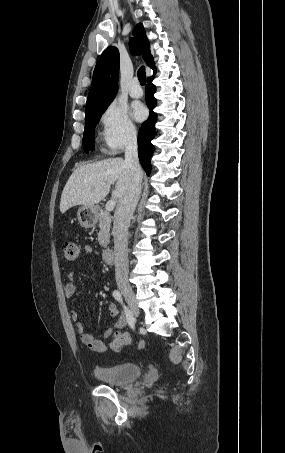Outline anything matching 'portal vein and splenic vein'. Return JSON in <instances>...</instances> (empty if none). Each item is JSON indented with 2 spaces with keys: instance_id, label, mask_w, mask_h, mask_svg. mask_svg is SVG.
Listing matches in <instances>:
<instances>
[{
  "instance_id": "18ae733b",
  "label": "portal vein and splenic vein",
  "mask_w": 285,
  "mask_h": 453,
  "mask_svg": "<svg viewBox=\"0 0 285 453\" xmlns=\"http://www.w3.org/2000/svg\"><path fill=\"white\" fill-rule=\"evenodd\" d=\"M115 205H116L115 200L108 201L105 206L106 211H108V212L112 211L114 209Z\"/></svg>"
}]
</instances>
